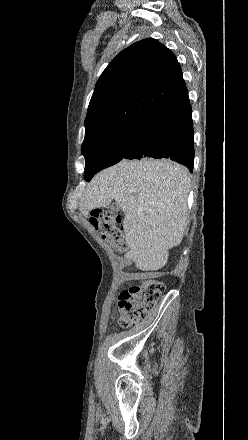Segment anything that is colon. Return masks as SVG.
<instances>
[{"mask_svg": "<svg viewBox=\"0 0 248 440\" xmlns=\"http://www.w3.org/2000/svg\"><path fill=\"white\" fill-rule=\"evenodd\" d=\"M91 225L116 250L124 251L127 245L123 239L121 217L109 210L97 209L90 216ZM164 291V284L148 278L139 285L123 290L118 296L119 322L123 327L138 323L155 308Z\"/></svg>", "mask_w": 248, "mask_h": 440, "instance_id": "obj_1", "label": "colon"}]
</instances>
